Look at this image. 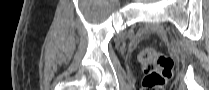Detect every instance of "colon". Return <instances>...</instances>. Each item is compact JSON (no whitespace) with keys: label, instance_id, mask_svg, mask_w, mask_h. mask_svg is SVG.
Segmentation results:
<instances>
[{"label":"colon","instance_id":"obj_1","mask_svg":"<svg viewBox=\"0 0 209 90\" xmlns=\"http://www.w3.org/2000/svg\"><path fill=\"white\" fill-rule=\"evenodd\" d=\"M139 60L145 74L143 89L162 90L172 76L173 60L152 47L141 50Z\"/></svg>","mask_w":209,"mask_h":90}]
</instances>
